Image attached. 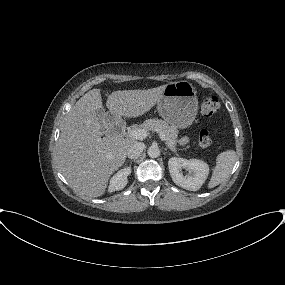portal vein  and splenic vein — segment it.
Returning <instances> with one entry per match:
<instances>
[{
  "label": "portal vein and splenic vein",
  "mask_w": 285,
  "mask_h": 285,
  "mask_svg": "<svg viewBox=\"0 0 285 285\" xmlns=\"http://www.w3.org/2000/svg\"><path fill=\"white\" fill-rule=\"evenodd\" d=\"M148 131L144 128H133L129 129L127 132L128 137L137 139V140H142L145 139L148 136ZM160 139L162 141H165V136L161 133H159Z\"/></svg>",
  "instance_id": "18ae733b"
}]
</instances>
